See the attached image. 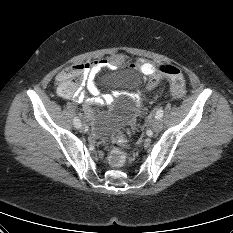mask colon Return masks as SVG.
I'll list each match as a JSON object with an SVG mask.
<instances>
[{
    "instance_id": "obj_1",
    "label": "colon",
    "mask_w": 233,
    "mask_h": 233,
    "mask_svg": "<svg viewBox=\"0 0 233 233\" xmlns=\"http://www.w3.org/2000/svg\"><path fill=\"white\" fill-rule=\"evenodd\" d=\"M83 74V65H74L64 68L56 77L58 89L63 94H71L80 87ZM167 76L170 79L171 93L175 98L181 99L187 93V82L180 70L174 66L161 65L157 69V73L151 78L149 88H154L161 77ZM127 142V138L123 133H119L115 140V146L112 148L109 162L113 167L120 168L126 163V154L120 148Z\"/></svg>"
}]
</instances>
